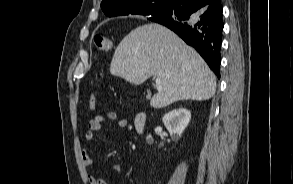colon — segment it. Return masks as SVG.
Segmentation results:
<instances>
[{"instance_id": "5ec220e1", "label": "colon", "mask_w": 293, "mask_h": 184, "mask_svg": "<svg viewBox=\"0 0 293 184\" xmlns=\"http://www.w3.org/2000/svg\"><path fill=\"white\" fill-rule=\"evenodd\" d=\"M94 47L98 52L110 51L113 48V41L102 35H96L94 37ZM96 106V95L93 93L89 99V107L90 109H94Z\"/></svg>"}]
</instances>
